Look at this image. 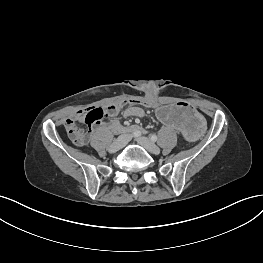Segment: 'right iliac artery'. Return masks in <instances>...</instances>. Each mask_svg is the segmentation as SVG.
<instances>
[{
  "label": "right iliac artery",
  "instance_id": "right-iliac-artery-1",
  "mask_svg": "<svg viewBox=\"0 0 263 263\" xmlns=\"http://www.w3.org/2000/svg\"><path fill=\"white\" fill-rule=\"evenodd\" d=\"M131 133H132V136L134 137H139L141 135V132L138 129L131 131Z\"/></svg>",
  "mask_w": 263,
  "mask_h": 263
}]
</instances>
